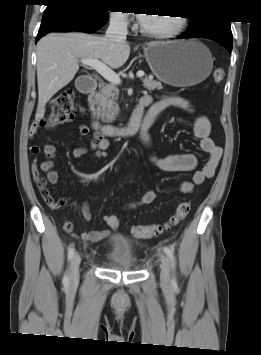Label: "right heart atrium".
<instances>
[{"label":"right heart atrium","instance_id":"1","mask_svg":"<svg viewBox=\"0 0 261 355\" xmlns=\"http://www.w3.org/2000/svg\"><path fill=\"white\" fill-rule=\"evenodd\" d=\"M109 19L112 25L120 29H126L130 24L129 15L124 11H112Z\"/></svg>","mask_w":261,"mask_h":355}]
</instances>
